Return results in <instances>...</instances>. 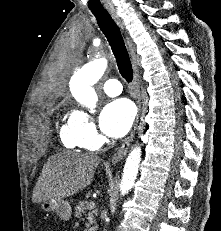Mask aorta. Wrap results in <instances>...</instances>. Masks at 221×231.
<instances>
[{"mask_svg":"<svg viewBox=\"0 0 221 231\" xmlns=\"http://www.w3.org/2000/svg\"><path fill=\"white\" fill-rule=\"evenodd\" d=\"M108 65L105 57H100L83 66L78 70L70 81V91L73 97L82 105L90 108L94 112L98 100L97 94L93 88L103 76ZM141 160V148L136 146L129 153L120 183V193L125 195L133 187Z\"/></svg>","mask_w":221,"mask_h":231,"instance_id":"762f6f07","label":"aorta"}]
</instances>
